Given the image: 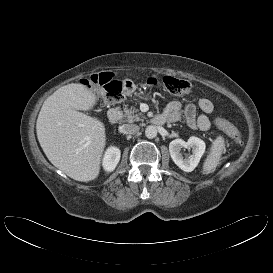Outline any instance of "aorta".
I'll list each match as a JSON object with an SVG mask.
<instances>
[{
	"instance_id": "aorta-1",
	"label": "aorta",
	"mask_w": 273,
	"mask_h": 273,
	"mask_svg": "<svg viewBox=\"0 0 273 273\" xmlns=\"http://www.w3.org/2000/svg\"><path fill=\"white\" fill-rule=\"evenodd\" d=\"M157 128L153 125L147 126V128L145 129V136L147 138H155L157 136Z\"/></svg>"
}]
</instances>
